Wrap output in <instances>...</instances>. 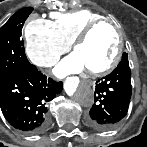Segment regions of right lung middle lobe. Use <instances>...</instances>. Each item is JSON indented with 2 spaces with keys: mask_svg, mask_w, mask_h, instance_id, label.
I'll return each mask as SVG.
<instances>
[{
  "mask_svg": "<svg viewBox=\"0 0 147 147\" xmlns=\"http://www.w3.org/2000/svg\"><path fill=\"white\" fill-rule=\"evenodd\" d=\"M31 11L30 7L19 10L0 29V78L31 65L20 40L23 24Z\"/></svg>",
  "mask_w": 147,
  "mask_h": 147,
  "instance_id": "dd1d6c3e",
  "label": "right lung middle lobe"
}]
</instances>
